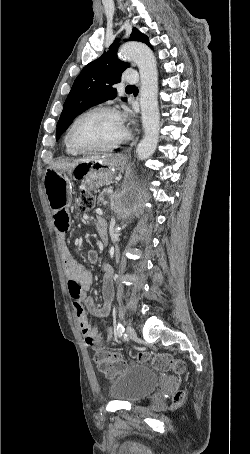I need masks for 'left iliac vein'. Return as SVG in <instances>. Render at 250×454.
<instances>
[{"label":"left iliac vein","mask_w":250,"mask_h":454,"mask_svg":"<svg viewBox=\"0 0 250 454\" xmlns=\"http://www.w3.org/2000/svg\"><path fill=\"white\" fill-rule=\"evenodd\" d=\"M126 333H127V336L130 338V339H135L137 334H136V331L134 330V328L130 325L127 326L126 328Z\"/></svg>","instance_id":"4c4485c4"}]
</instances>
